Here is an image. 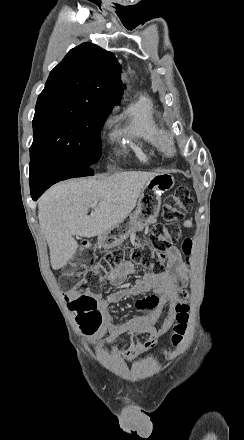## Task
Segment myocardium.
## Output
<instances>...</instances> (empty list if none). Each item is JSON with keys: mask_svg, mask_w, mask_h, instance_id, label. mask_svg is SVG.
I'll return each mask as SVG.
<instances>
[{"mask_svg": "<svg viewBox=\"0 0 244 440\" xmlns=\"http://www.w3.org/2000/svg\"><path fill=\"white\" fill-rule=\"evenodd\" d=\"M121 134L122 131H121ZM162 142H163V153L167 157H172L175 154V140L172 135H163L162 136Z\"/></svg>", "mask_w": 244, "mask_h": 440, "instance_id": "1", "label": "myocardium"}]
</instances>
